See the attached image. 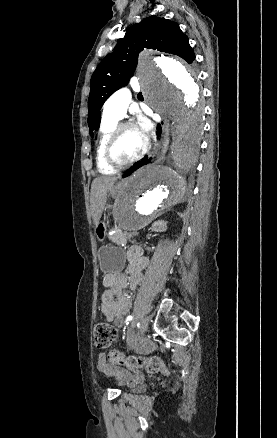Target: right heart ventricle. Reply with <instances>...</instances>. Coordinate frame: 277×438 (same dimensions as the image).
<instances>
[{"mask_svg": "<svg viewBox=\"0 0 277 438\" xmlns=\"http://www.w3.org/2000/svg\"><path fill=\"white\" fill-rule=\"evenodd\" d=\"M118 120L103 118L100 132H99V142L97 147V166L101 173L103 174H112L115 172L114 168L109 166L104 159V149L107 143V140L116 126Z\"/></svg>", "mask_w": 277, "mask_h": 438, "instance_id": "e07e8e85", "label": "right heart ventricle"}]
</instances>
